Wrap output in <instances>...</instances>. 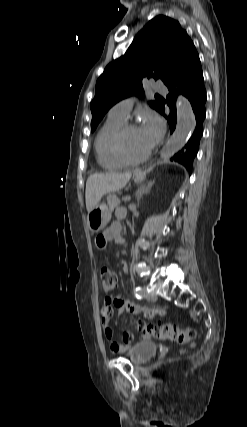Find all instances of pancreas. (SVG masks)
<instances>
[{"mask_svg":"<svg viewBox=\"0 0 247 427\" xmlns=\"http://www.w3.org/2000/svg\"><path fill=\"white\" fill-rule=\"evenodd\" d=\"M107 203H108L109 209L111 211V210H114V208L119 206L120 200L116 195H109L107 197Z\"/></svg>","mask_w":247,"mask_h":427,"instance_id":"1","label":"pancreas"}]
</instances>
